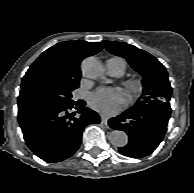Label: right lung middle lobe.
<instances>
[{
  "instance_id": "1",
  "label": "right lung middle lobe",
  "mask_w": 194,
  "mask_h": 193,
  "mask_svg": "<svg viewBox=\"0 0 194 193\" xmlns=\"http://www.w3.org/2000/svg\"><path fill=\"white\" fill-rule=\"evenodd\" d=\"M79 87V80L65 77L40 76L34 79L30 90L18 97L20 108L70 107L72 92Z\"/></svg>"
}]
</instances>
